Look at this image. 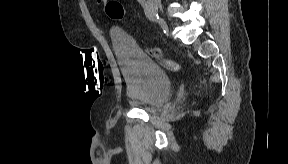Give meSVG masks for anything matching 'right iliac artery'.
<instances>
[{"mask_svg":"<svg viewBox=\"0 0 288 164\" xmlns=\"http://www.w3.org/2000/svg\"><path fill=\"white\" fill-rule=\"evenodd\" d=\"M146 16L151 21H157L159 19L157 11L149 6L147 7Z\"/></svg>","mask_w":288,"mask_h":164,"instance_id":"obj_1","label":"right iliac artery"}]
</instances>
